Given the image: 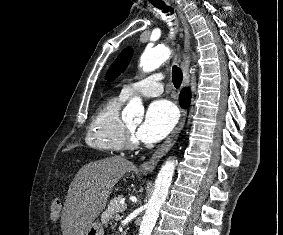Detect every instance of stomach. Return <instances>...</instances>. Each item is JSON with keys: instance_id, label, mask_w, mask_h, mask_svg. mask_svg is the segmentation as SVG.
Wrapping results in <instances>:
<instances>
[{"instance_id": "1", "label": "stomach", "mask_w": 283, "mask_h": 235, "mask_svg": "<svg viewBox=\"0 0 283 235\" xmlns=\"http://www.w3.org/2000/svg\"><path fill=\"white\" fill-rule=\"evenodd\" d=\"M85 235H104L103 225L99 221L93 222Z\"/></svg>"}]
</instances>
